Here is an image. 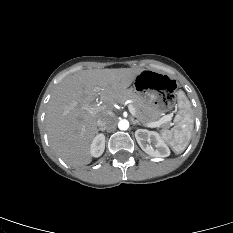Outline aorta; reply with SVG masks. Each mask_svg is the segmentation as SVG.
Here are the masks:
<instances>
[{"instance_id": "762f6f07", "label": "aorta", "mask_w": 233, "mask_h": 233, "mask_svg": "<svg viewBox=\"0 0 233 233\" xmlns=\"http://www.w3.org/2000/svg\"><path fill=\"white\" fill-rule=\"evenodd\" d=\"M118 128L120 130H127L129 128V122L126 119H121L118 123Z\"/></svg>"}]
</instances>
